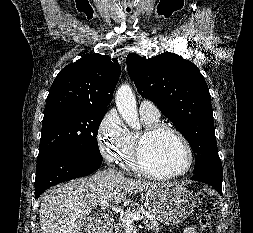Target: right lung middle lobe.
Wrapping results in <instances>:
<instances>
[{"mask_svg":"<svg viewBox=\"0 0 253 233\" xmlns=\"http://www.w3.org/2000/svg\"><path fill=\"white\" fill-rule=\"evenodd\" d=\"M106 111L87 105H46L38 157L62 152L102 159L96 136Z\"/></svg>","mask_w":253,"mask_h":233,"instance_id":"right-lung-middle-lobe-1","label":"right lung middle lobe"}]
</instances>
